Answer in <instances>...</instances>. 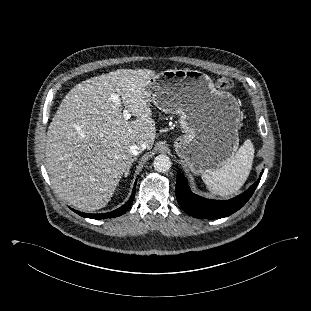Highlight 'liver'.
Instances as JSON below:
<instances>
[{"label":"liver","instance_id":"liver-1","mask_svg":"<svg viewBox=\"0 0 311 311\" xmlns=\"http://www.w3.org/2000/svg\"><path fill=\"white\" fill-rule=\"evenodd\" d=\"M153 76L150 69H117L77 84L62 100L48 128L45 160L54 189L71 206L103 208L132 162L130 147L152 148L156 128L145 87ZM113 93L134 121L124 119Z\"/></svg>","mask_w":311,"mask_h":311}]
</instances>
